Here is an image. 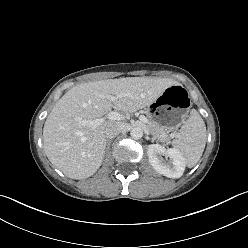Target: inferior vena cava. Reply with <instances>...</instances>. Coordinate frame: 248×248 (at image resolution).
<instances>
[{
    "instance_id": "1",
    "label": "inferior vena cava",
    "mask_w": 248,
    "mask_h": 248,
    "mask_svg": "<svg viewBox=\"0 0 248 248\" xmlns=\"http://www.w3.org/2000/svg\"><path fill=\"white\" fill-rule=\"evenodd\" d=\"M122 130V126L120 124H114L105 129V137L107 139H112L116 137Z\"/></svg>"
}]
</instances>
